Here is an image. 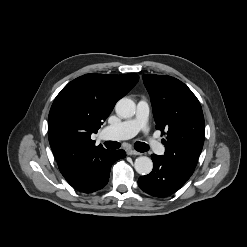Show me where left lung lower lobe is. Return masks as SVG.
I'll return each instance as SVG.
<instances>
[{
    "mask_svg": "<svg viewBox=\"0 0 247 247\" xmlns=\"http://www.w3.org/2000/svg\"><path fill=\"white\" fill-rule=\"evenodd\" d=\"M153 170L138 179L139 187L146 193L166 197L177 191L192 175L178 162L165 156L151 155Z\"/></svg>",
    "mask_w": 247,
    "mask_h": 247,
    "instance_id": "obj_1",
    "label": "left lung lower lobe"
}]
</instances>
